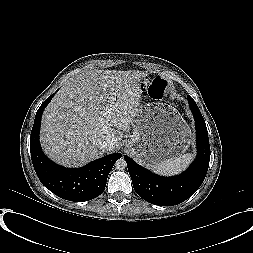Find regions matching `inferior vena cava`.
<instances>
[{"mask_svg":"<svg viewBox=\"0 0 253 253\" xmlns=\"http://www.w3.org/2000/svg\"><path fill=\"white\" fill-rule=\"evenodd\" d=\"M114 144V141L111 138H106L103 142H102V146L104 148H108L109 146H112Z\"/></svg>","mask_w":253,"mask_h":253,"instance_id":"obj_1","label":"inferior vena cava"}]
</instances>
